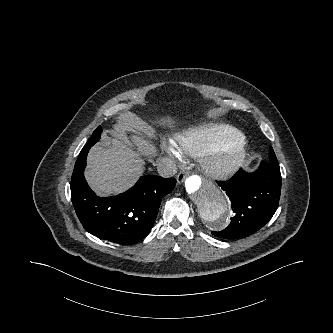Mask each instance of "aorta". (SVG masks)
<instances>
[{
	"label": "aorta",
	"mask_w": 333,
	"mask_h": 333,
	"mask_svg": "<svg viewBox=\"0 0 333 333\" xmlns=\"http://www.w3.org/2000/svg\"><path fill=\"white\" fill-rule=\"evenodd\" d=\"M188 200L197 217L214 227L228 215V200L225 194L212 182L203 177L190 175L185 181Z\"/></svg>",
	"instance_id": "obj_1"
}]
</instances>
